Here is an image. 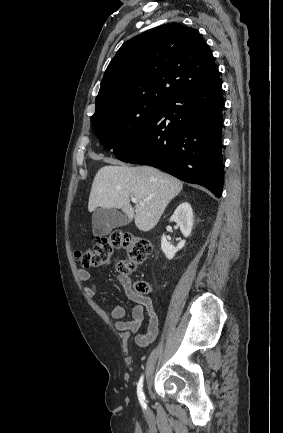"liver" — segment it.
<instances>
[{
    "mask_svg": "<svg viewBox=\"0 0 283 433\" xmlns=\"http://www.w3.org/2000/svg\"><path fill=\"white\" fill-rule=\"evenodd\" d=\"M115 166H102L94 176L88 210L122 208L126 217L140 231H151L157 225L168 202L182 190V182L153 166H127L114 160ZM121 164V166H118ZM130 196L137 198L135 206ZM144 202V204H140Z\"/></svg>",
    "mask_w": 283,
    "mask_h": 433,
    "instance_id": "liver-1",
    "label": "liver"
}]
</instances>
